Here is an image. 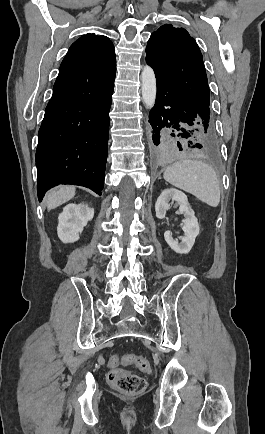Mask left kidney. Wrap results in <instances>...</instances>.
<instances>
[{"label":"left kidney","instance_id":"5707ae66","mask_svg":"<svg viewBox=\"0 0 265 434\" xmlns=\"http://www.w3.org/2000/svg\"><path fill=\"white\" fill-rule=\"evenodd\" d=\"M176 202V206H180L178 212L176 214H183L185 220H183V232L184 236L181 238V242L178 240H173L171 232H165L164 238L177 254H188L190 252L192 246H194L195 238L199 234V224L197 218H195V214L193 210L190 208V204H188L187 196L183 194V192H179V190H175V188H169V190H163L161 196L157 198V202L155 204V212L156 218L162 220L165 218L167 210L170 208V202Z\"/></svg>","mask_w":265,"mask_h":434}]
</instances>
